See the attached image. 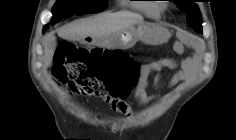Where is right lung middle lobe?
<instances>
[{
    "label": "right lung middle lobe",
    "instance_id": "obj_1",
    "mask_svg": "<svg viewBox=\"0 0 236 140\" xmlns=\"http://www.w3.org/2000/svg\"><path fill=\"white\" fill-rule=\"evenodd\" d=\"M106 7V0H58L53 7L51 25L74 14L97 12ZM50 24L44 29L49 28Z\"/></svg>",
    "mask_w": 236,
    "mask_h": 140
}]
</instances>
